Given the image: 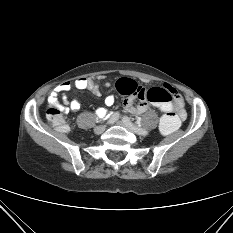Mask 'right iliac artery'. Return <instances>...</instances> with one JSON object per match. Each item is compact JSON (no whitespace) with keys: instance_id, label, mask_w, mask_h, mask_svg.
<instances>
[{"instance_id":"1","label":"right iliac artery","mask_w":233,"mask_h":233,"mask_svg":"<svg viewBox=\"0 0 233 233\" xmlns=\"http://www.w3.org/2000/svg\"><path fill=\"white\" fill-rule=\"evenodd\" d=\"M119 118V113L118 112H115L111 115V117L109 118V123H112V122H115L116 120H118Z\"/></svg>"}]
</instances>
